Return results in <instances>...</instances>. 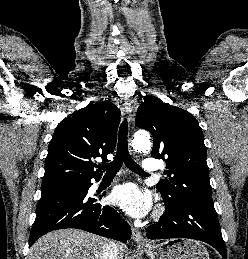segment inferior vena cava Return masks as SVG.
Here are the masks:
<instances>
[{"mask_svg": "<svg viewBox=\"0 0 248 259\" xmlns=\"http://www.w3.org/2000/svg\"><path fill=\"white\" fill-rule=\"evenodd\" d=\"M101 259H118V248L115 242H106L101 255Z\"/></svg>", "mask_w": 248, "mask_h": 259, "instance_id": "602c4592", "label": "inferior vena cava"}]
</instances>
